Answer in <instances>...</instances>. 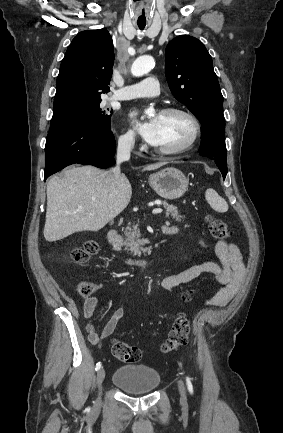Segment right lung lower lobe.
<instances>
[{
    "instance_id": "right-lung-lower-lobe-1",
    "label": "right lung lower lobe",
    "mask_w": 283,
    "mask_h": 433,
    "mask_svg": "<svg viewBox=\"0 0 283 433\" xmlns=\"http://www.w3.org/2000/svg\"><path fill=\"white\" fill-rule=\"evenodd\" d=\"M114 153L115 138L110 128L87 122L50 124L44 181L74 163L108 168L115 163Z\"/></svg>"
}]
</instances>
